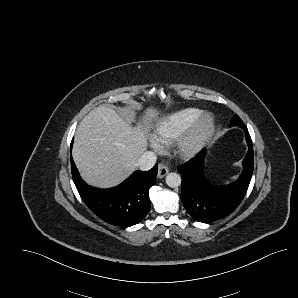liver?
I'll return each instance as SVG.
<instances>
[{
	"instance_id": "obj_1",
	"label": "liver",
	"mask_w": 298,
	"mask_h": 298,
	"mask_svg": "<svg viewBox=\"0 0 298 298\" xmlns=\"http://www.w3.org/2000/svg\"><path fill=\"white\" fill-rule=\"evenodd\" d=\"M163 114L162 106L147 105L131 125L110 107L90 111L76 130L71 151L82 181L100 190L124 182L138 169Z\"/></svg>"
}]
</instances>
